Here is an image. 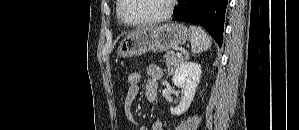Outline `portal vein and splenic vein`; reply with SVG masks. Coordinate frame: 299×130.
<instances>
[{"instance_id":"obj_1","label":"portal vein and splenic vein","mask_w":299,"mask_h":130,"mask_svg":"<svg viewBox=\"0 0 299 130\" xmlns=\"http://www.w3.org/2000/svg\"><path fill=\"white\" fill-rule=\"evenodd\" d=\"M176 55H177L178 57H181V56H182V53L177 52Z\"/></svg>"}]
</instances>
